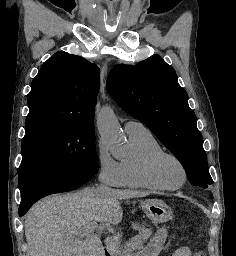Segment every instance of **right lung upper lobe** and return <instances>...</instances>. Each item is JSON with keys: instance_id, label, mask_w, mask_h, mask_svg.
Wrapping results in <instances>:
<instances>
[{"instance_id": "cb5924a9", "label": "right lung upper lobe", "mask_w": 236, "mask_h": 256, "mask_svg": "<svg viewBox=\"0 0 236 256\" xmlns=\"http://www.w3.org/2000/svg\"><path fill=\"white\" fill-rule=\"evenodd\" d=\"M99 68L86 59L58 52L41 67L28 95L26 122L56 120L94 124Z\"/></svg>"}]
</instances>
